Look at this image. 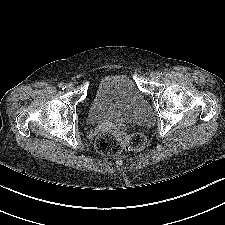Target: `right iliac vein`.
<instances>
[{
  "instance_id": "right-iliac-vein-1",
  "label": "right iliac vein",
  "mask_w": 225,
  "mask_h": 225,
  "mask_svg": "<svg viewBox=\"0 0 225 225\" xmlns=\"http://www.w3.org/2000/svg\"><path fill=\"white\" fill-rule=\"evenodd\" d=\"M74 89V84L73 83H68L67 85H66V90L67 91H72Z\"/></svg>"
}]
</instances>
